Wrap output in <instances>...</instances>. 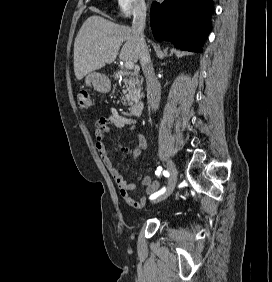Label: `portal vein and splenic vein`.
<instances>
[{
    "label": "portal vein and splenic vein",
    "mask_w": 272,
    "mask_h": 282,
    "mask_svg": "<svg viewBox=\"0 0 272 282\" xmlns=\"http://www.w3.org/2000/svg\"><path fill=\"white\" fill-rule=\"evenodd\" d=\"M126 69H133L134 68V63L132 61H126L124 64Z\"/></svg>",
    "instance_id": "portal-vein-and-splenic-vein-1"
}]
</instances>
